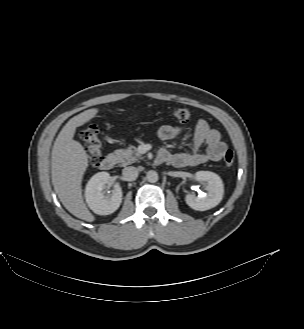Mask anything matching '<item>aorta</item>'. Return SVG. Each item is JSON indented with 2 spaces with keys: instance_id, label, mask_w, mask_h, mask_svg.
<instances>
[{
  "instance_id": "762f6f07",
  "label": "aorta",
  "mask_w": 304,
  "mask_h": 329,
  "mask_svg": "<svg viewBox=\"0 0 304 329\" xmlns=\"http://www.w3.org/2000/svg\"><path fill=\"white\" fill-rule=\"evenodd\" d=\"M146 178L150 183H155L158 181L159 177H158V173L156 171L150 170L147 172Z\"/></svg>"
}]
</instances>
